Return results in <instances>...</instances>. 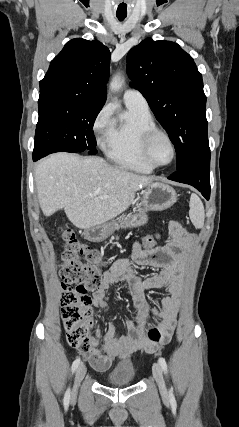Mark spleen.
Instances as JSON below:
<instances>
[{
  "label": "spleen",
  "instance_id": "3e777b00",
  "mask_svg": "<svg viewBox=\"0 0 239 427\" xmlns=\"http://www.w3.org/2000/svg\"><path fill=\"white\" fill-rule=\"evenodd\" d=\"M189 207V216L192 224L195 226V228H203L205 219L204 206L196 194L191 195Z\"/></svg>",
  "mask_w": 239,
  "mask_h": 427
}]
</instances>
